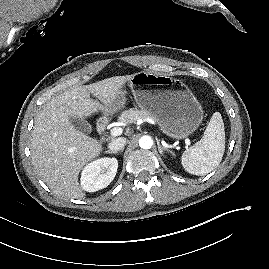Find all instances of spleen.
I'll return each instance as SVG.
<instances>
[{
	"label": "spleen",
	"instance_id": "3e777b00",
	"mask_svg": "<svg viewBox=\"0 0 269 269\" xmlns=\"http://www.w3.org/2000/svg\"><path fill=\"white\" fill-rule=\"evenodd\" d=\"M225 151L224 123L219 112H215L203 134L193 147L181 157L183 168L190 174L203 176L220 164Z\"/></svg>",
	"mask_w": 269,
	"mask_h": 269
}]
</instances>
